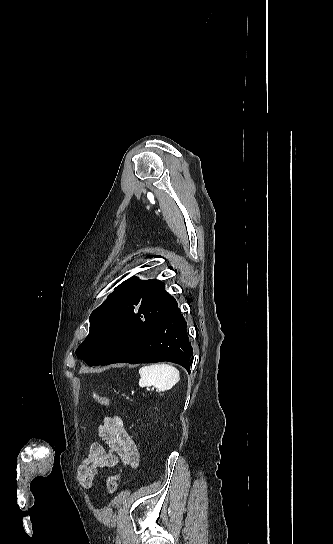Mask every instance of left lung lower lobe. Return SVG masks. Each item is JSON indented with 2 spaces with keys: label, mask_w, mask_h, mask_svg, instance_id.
I'll return each instance as SVG.
<instances>
[{
  "label": "left lung lower lobe",
  "mask_w": 333,
  "mask_h": 544,
  "mask_svg": "<svg viewBox=\"0 0 333 544\" xmlns=\"http://www.w3.org/2000/svg\"><path fill=\"white\" fill-rule=\"evenodd\" d=\"M100 349L102 360L97 365L169 361L189 372V364L193 362L187 323L177 304L154 322L135 324L119 356L111 354L106 348Z\"/></svg>",
  "instance_id": "left-lung-lower-lobe-1"
}]
</instances>
